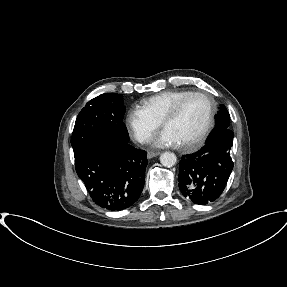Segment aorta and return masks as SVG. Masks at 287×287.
<instances>
[{"label": "aorta", "mask_w": 287, "mask_h": 287, "mask_svg": "<svg viewBox=\"0 0 287 287\" xmlns=\"http://www.w3.org/2000/svg\"><path fill=\"white\" fill-rule=\"evenodd\" d=\"M160 162L163 166L170 168L176 164L177 158L172 152H164L160 156Z\"/></svg>", "instance_id": "762f6f07"}]
</instances>
